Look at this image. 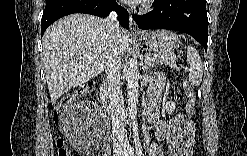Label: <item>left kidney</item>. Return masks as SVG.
<instances>
[{
  "label": "left kidney",
  "instance_id": "1",
  "mask_svg": "<svg viewBox=\"0 0 247 156\" xmlns=\"http://www.w3.org/2000/svg\"><path fill=\"white\" fill-rule=\"evenodd\" d=\"M175 103L167 101L164 103V110H166L169 114H172L175 110Z\"/></svg>",
  "mask_w": 247,
  "mask_h": 156
}]
</instances>
